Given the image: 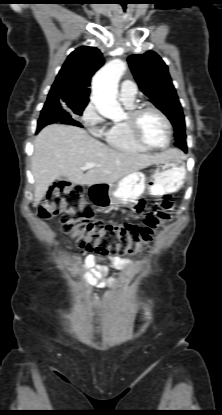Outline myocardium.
<instances>
[{
	"instance_id": "1",
	"label": "myocardium",
	"mask_w": 222,
	"mask_h": 415,
	"mask_svg": "<svg viewBox=\"0 0 222 415\" xmlns=\"http://www.w3.org/2000/svg\"><path fill=\"white\" fill-rule=\"evenodd\" d=\"M147 111H153L157 113L166 124L168 136H167L166 143L162 146H155V145L148 143L141 134L140 118ZM125 123L128 126L129 131L132 137L135 139V141L139 143L141 146L149 150H163L169 147V145L171 144L172 136H173L172 123L170 119L168 118V116L161 109H159L158 107L152 104L143 103V104L135 106L133 109L129 111L127 118L125 120Z\"/></svg>"
}]
</instances>
